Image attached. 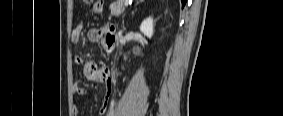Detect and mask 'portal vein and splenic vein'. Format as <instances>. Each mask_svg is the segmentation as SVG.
I'll return each mask as SVG.
<instances>
[{
	"instance_id": "18ae733b",
	"label": "portal vein and splenic vein",
	"mask_w": 283,
	"mask_h": 116,
	"mask_svg": "<svg viewBox=\"0 0 283 116\" xmlns=\"http://www.w3.org/2000/svg\"><path fill=\"white\" fill-rule=\"evenodd\" d=\"M125 6H126V7L128 6V3H127V1L125 2Z\"/></svg>"
}]
</instances>
